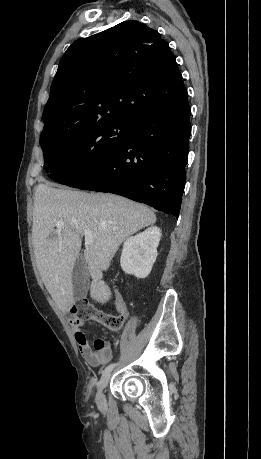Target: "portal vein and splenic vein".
<instances>
[{
	"mask_svg": "<svg viewBox=\"0 0 261 459\" xmlns=\"http://www.w3.org/2000/svg\"><path fill=\"white\" fill-rule=\"evenodd\" d=\"M57 228L62 229L64 226V220L61 219L59 220L56 225ZM84 236H85V243L86 244H92L93 243V238H92V233L89 230H84Z\"/></svg>",
	"mask_w": 261,
	"mask_h": 459,
	"instance_id": "portal-vein-and-splenic-vein-1",
	"label": "portal vein and splenic vein"
}]
</instances>
